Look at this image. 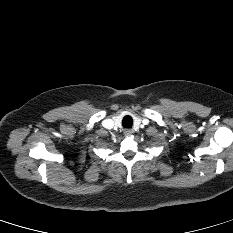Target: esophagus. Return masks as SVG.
I'll use <instances>...</instances> for the list:
<instances>
[{
  "mask_svg": "<svg viewBox=\"0 0 233 233\" xmlns=\"http://www.w3.org/2000/svg\"><path fill=\"white\" fill-rule=\"evenodd\" d=\"M124 134H125L126 136H131V135L133 134V130H132V129H125V130H124Z\"/></svg>",
  "mask_w": 233,
  "mask_h": 233,
  "instance_id": "esophagus-1",
  "label": "esophagus"
}]
</instances>
